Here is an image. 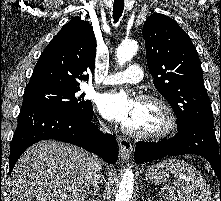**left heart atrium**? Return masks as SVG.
Returning a JSON list of instances; mask_svg holds the SVG:
<instances>
[{"label":"left heart atrium","mask_w":221,"mask_h":201,"mask_svg":"<svg viewBox=\"0 0 221 201\" xmlns=\"http://www.w3.org/2000/svg\"><path fill=\"white\" fill-rule=\"evenodd\" d=\"M137 102L123 91H109L99 96L97 108L108 120L127 124L133 117Z\"/></svg>","instance_id":"left-heart-atrium-1"}]
</instances>
